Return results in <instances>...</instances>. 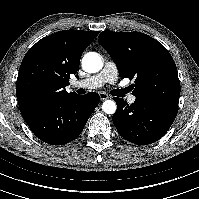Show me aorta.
<instances>
[{"label":"aorta","mask_w":199,"mask_h":199,"mask_svg":"<svg viewBox=\"0 0 199 199\" xmlns=\"http://www.w3.org/2000/svg\"><path fill=\"white\" fill-rule=\"evenodd\" d=\"M103 67L101 56L96 52H89L82 58V68L88 73L99 72ZM116 103L113 100H106L102 104V110L107 114H114L116 111Z\"/></svg>","instance_id":"obj_1"}]
</instances>
